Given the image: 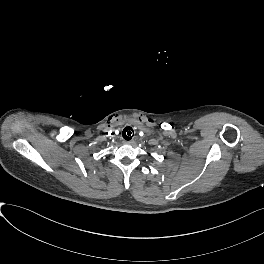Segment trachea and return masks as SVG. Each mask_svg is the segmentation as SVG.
Here are the masks:
<instances>
[{
    "instance_id": "obj_1",
    "label": "trachea",
    "mask_w": 264,
    "mask_h": 264,
    "mask_svg": "<svg viewBox=\"0 0 264 264\" xmlns=\"http://www.w3.org/2000/svg\"><path fill=\"white\" fill-rule=\"evenodd\" d=\"M122 136L125 140L129 141L134 136V131L131 127H125L122 132Z\"/></svg>"
}]
</instances>
